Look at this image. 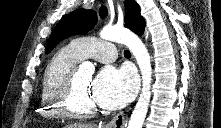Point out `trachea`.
<instances>
[{
	"label": "trachea",
	"mask_w": 221,
	"mask_h": 128,
	"mask_svg": "<svg viewBox=\"0 0 221 128\" xmlns=\"http://www.w3.org/2000/svg\"><path fill=\"white\" fill-rule=\"evenodd\" d=\"M124 55L127 57V56H130L131 54H130V51L129 50H125L124 51Z\"/></svg>",
	"instance_id": "1"
}]
</instances>
